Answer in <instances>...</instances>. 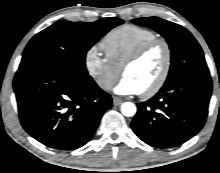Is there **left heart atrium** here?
<instances>
[{
  "label": "left heart atrium",
  "instance_id": "left-heart-atrium-1",
  "mask_svg": "<svg viewBox=\"0 0 220 173\" xmlns=\"http://www.w3.org/2000/svg\"><path fill=\"white\" fill-rule=\"evenodd\" d=\"M114 91L119 95H137L141 93V90L135 81L126 76L118 82Z\"/></svg>",
  "mask_w": 220,
  "mask_h": 173
}]
</instances>
